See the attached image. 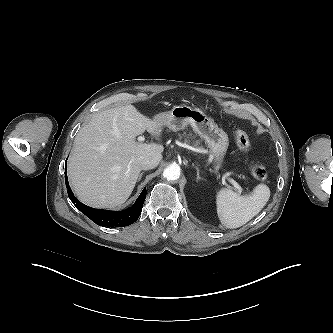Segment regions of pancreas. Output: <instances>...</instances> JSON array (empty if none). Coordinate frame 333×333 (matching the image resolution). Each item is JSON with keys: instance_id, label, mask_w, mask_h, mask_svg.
<instances>
[{"instance_id": "1", "label": "pancreas", "mask_w": 333, "mask_h": 333, "mask_svg": "<svg viewBox=\"0 0 333 333\" xmlns=\"http://www.w3.org/2000/svg\"><path fill=\"white\" fill-rule=\"evenodd\" d=\"M179 138H184L185 142L189 144L192 143L195 147L199 146L200 144L199 140L194 141V136L190 132L188 134H186V132H184L182 135L179 134Z\"/></svg>"}]
</instances>
